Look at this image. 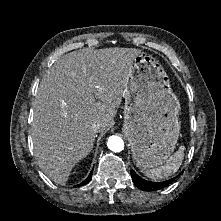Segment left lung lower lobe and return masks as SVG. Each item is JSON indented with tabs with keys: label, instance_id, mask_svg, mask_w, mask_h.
I'll return each mask as SVG.
<instances>
[{
	"label": "left lung lower lobe",
	"instance_id": "1",
	"mask_svg": "<svg viewBox=\"0 0 221 221\" xmlns=\"http://www.w3.org/2000/svg\"><path fill=\"white\" fill-rule=\"evenodd\" d=\"M131 177L134 184L143 191H156L168 186L173 181V179L164 182L146 181L140 176H138L135 171H131Z\"/></svg>",
	"mask_w": 221,
	"mask_h": 221
}]
</instances>
